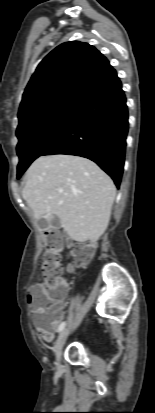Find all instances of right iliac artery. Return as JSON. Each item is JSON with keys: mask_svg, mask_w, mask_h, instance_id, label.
I'll return each instance as SVG.
<instances>
[{"mask_svg": "<svg viewBox=\"0 0 155 413\" xmlns=\"http://www.w3.org/2000/svg\"><path fill=\"white\" fill-rule=\"evenodd\" d=\"M65 325H66V323H65V322H62V323L60 324L59 328H58V332H61V331L64 329Z\"/></svg>", "mask_w": 155, "mask_h": 413, "instance_id": "obj_1", "label": "right iliac artery"}]
</instances>
